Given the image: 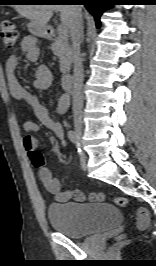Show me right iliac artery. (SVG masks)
I'll return each instance as SVG.
<instances>
[{"instance_id":"1","label":"right iliac artery","mask_w":156,"mask_h":266,"mask_svg":"<svg viewBox=\"0 0 156 266\" xmlns=\"http://www.w3.org/2000/svg\"><path fill=\"white\" fill-rule=\"evenodd\" d=\"M68 138H69V140L72 142V143H74L76 146H79V136H78V134L75 132V131H73V130H70L69 132H68ZM79 151L78 152H80V149H78Z\"/></svg>"}]
</instances>
